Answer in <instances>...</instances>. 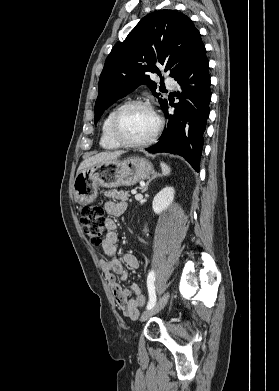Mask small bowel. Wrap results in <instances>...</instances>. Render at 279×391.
<instances>
[{"mask_svg": "<svg viewBox=\"0 0 279 391\" xmlns=\"http://www.w3.org/2000/svg\"><path fill=\"white\" fill-rule=\"evenodd\" d=\"M126 208L125 202L109 201L104 205L105 211L110 216H120L125 212ZM105 228L106 233L102 240V248L108 258H102L100 266L105 273L108 284L122 313L124 316L134 320L139 315L140 307L136 298L142 295V289L138 284H133L130 289H124L118 283L117 277L120 276L122 280H126L127 272L124 265L137 268L139 262L134 255L122 253L118 250L116 223L111 217L105 219ZM132 294L135 295V298L131 297Z\"/></svg>", "mask_w": 279, "mask_h": 391, "instance_id": "small-bowel-1", "label": "small bowel"}]
</instances>
